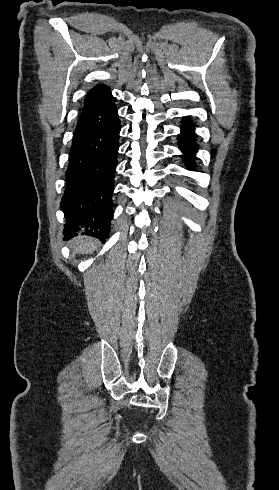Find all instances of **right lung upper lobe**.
<instances>
[{
  "mask_svg": "<svg viewBox=\"0 0 279 490\" xmlns=\"http://www.w3.org/2000/svg\"><path fill=\"white\" fill-rule=\"evenodd\" d=\"M118 120L110 89L106 86H96L86 95L73 140L96 134Z\"/></svg>",
  "mask_w": 279,
  "mask_h": 490,
  "instance_id": "1",
  "label": "right lung upper lobe"
}]
</instances>
